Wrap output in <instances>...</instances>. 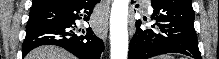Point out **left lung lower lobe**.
Returning <instances> with one entry per match:
<instances>
[{
	"label": "left lung lower lobe",
	"instance_id": "0a47b994",
	"mask_svg": "<svg viewBox=\"0 0 219 59\" xmlns=\"http://www.w3.org/2000/svg\"><path fill=\"white\" fill-rule=\"evenodd\" d=\"M151 4V19L156 20L154 29H141V22H137L128 59H149L167 53L201 59L191 0H151Z\"/></svg>",
	"mask_w": 219,
	"mask_h": 59
}]
</instances>
